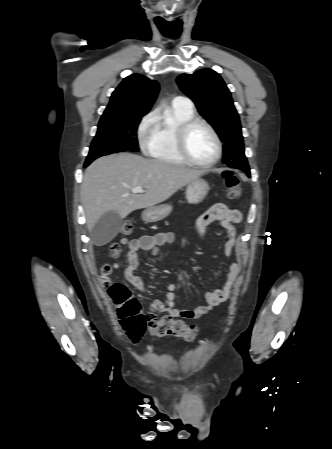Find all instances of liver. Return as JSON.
<instances>
[{"instance_id": "1", "label": "liver", "mask_w": 332, "mask_h": 449, "mask_svg": "<svg viewBox=\"0 0 332 449\" xmlns=\"http://www.w3.org/2000/svg\"><path fill=\"white\" fill-rule=\"evenodd\" d=\"M203 173L131 153L101 157L86 169L81 186L88 230L106 212L125 218L135 210L155 206ZM136 186L144 193H132Z\"/></svg>"}]
</instances>
